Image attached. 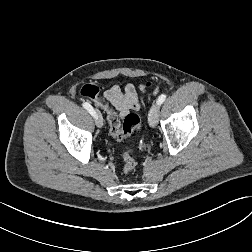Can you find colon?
Here are the masks:
<instances>
[{"mask_svg": "<svg viewBox=\"0 0 252 252\" xmlns=\"http://www.w3.org/2000/svg\"><path fill=\"white\" fill-rule=\"evenodd\" d=\"M146 86H150V83H147ZM99 93V87L94 84H85L81 89V94L84 97L94 101L97 105L106 110L110 132L116 140H122L140 129V118L136 114H128L121 122L120 116L116 109L114 107H110L103 100L102 95H99ZM132 152L133 151L131 149L125 150L123 152V170L125 174L131 173L137 165L135 159L133 158Z\"/></svg>", "mask_w": 252, "mask_h": 252, "instance_id": "1", "label": "colon"}]
</instances>
